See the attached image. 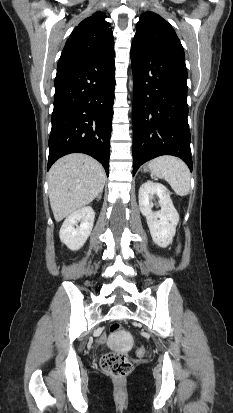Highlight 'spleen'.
<instances>
[{
	"label": "spleen",
	"mask_w": 233,
	"mask_h": 413,
	"mask_svg": "<svg viewBox=\"0 0 233 413\" xmlns=\"http://www.w3.org/2000/svg\"><path fill=\"white\" fill-rule=\"evenodd\" d=\"M151 174L164 178L179 196H186L190 190V171L186 164L173 156H160L148 164Z\"/></svg>",
	"instance_id": "obj_1"
}]
</instances>
